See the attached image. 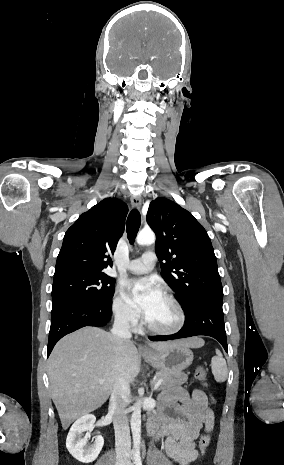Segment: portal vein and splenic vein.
Segmentation results:
<instances>
[{
    "label": "portal vein and splenic vein",
    "instance_id": "portal-vein-and-splenic-vein-1",
    "mask_svg": "<svg viewBox=\"0 0 284 465\" xmlns=\"http://www.w3.org/2000/svg\"><path fill=\"white\" fill-rule=\"evenodd\" d=\"M162 381H163V379H160V381H158V383H156V385L154 387V391H156V389H158V387H160ZM99 383H104V379H100Z\"/></svg>",
    "mask_w": 284,
    "mask_h": 465
}]
</instances>
